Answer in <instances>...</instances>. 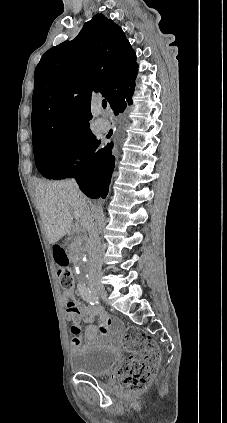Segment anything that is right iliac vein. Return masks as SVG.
I'll return each mask as SVG.
<instances>
[{"mask_svg":"<svg viewBox=\"0 0 227 423\" xmlns=\"http://www.w3.org/2000/svg\"><path fill=\"white\" fill-rule=\"evenodd\" d=\"M94 293L98 294L101 298L106 299L108 294L107 291L101 287V288H93L92 289Z\"/></svg>","mask_w":227,"mask_h":423,"instance_id":"right-iliac-vein-1","label":"right iliac vein"}]
</instances>
